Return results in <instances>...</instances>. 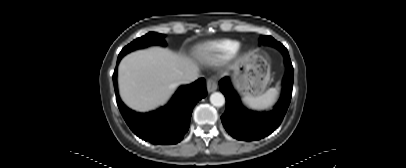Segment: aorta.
Segmentation results:
<instances>
[{"mask_svg":"<svg viewBox=\"0 0 406 168\" xmlns=\"http://www.w3.org/2000/svg\"><path fill=\"white\" fill-rule=\"evenodd\" d=\"M210 102L215 107H222L225 104V97L220 92H214L210 96Z\"/></svg>","mask_w":406,"mask_h":168,"instance_id":"762f6f07","label":"aorta"}]
</instances>
